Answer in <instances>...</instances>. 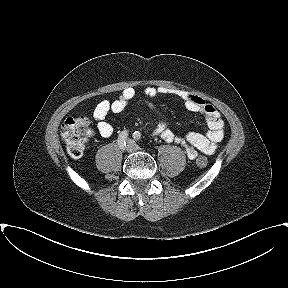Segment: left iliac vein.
Returning <instances> with one entry per match:
<instances>
[{
    "label": "left iliac vein",
    "mask_w": 288,
    "mask_h": 288,
    "mask_svg": "<svg viewBox=\"0 0 288 288\" xmlns=\"http://www.w3.org/2000/svg\"><path fill=\"white\" fill-rule=\"evenodd\" d=\"M134 148H135L136 150H138V149H139V147H138V146H135Z\"/></svg>",
    "instance_id": "4c4485c4"
}]
</instances>
